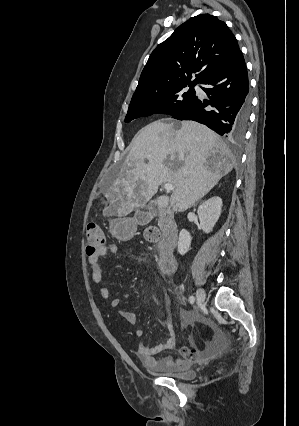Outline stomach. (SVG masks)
<instances>
[{
	"mask_svg": "<svg viewBox=\"0 0 299 426\" xmlns=\"http://www.w3.org/2000/svg\"><path fill=\"white\" fill-rule=\"evenodd\" d=\"M128 220L124 218H117L110 222V232L117 238H128L133 228L128 226Z\"/></svg>",
	"mask_w": 299,
	"mask_h": 426,
	"instance_id": "stomach-1",
	"label": "stomach"
}]
</instances>
